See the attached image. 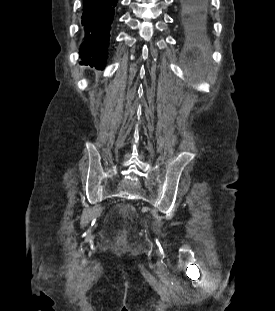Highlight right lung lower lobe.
I'll return each mask as SVG.
<instances>
[{"label":"right lung lower lobe","instance_id":"98d812e1","mask_svg":"<svg viewBox=\"0 0 275 311\" xmlns=\"http://www.w3.org/2000/svg\"><path fill=\"white\" fill-rule=\"evenodd\" d=\"M116 3L117 0H84L81 23L85 38L80 48L81 64L96 69L105 67Z\"/></svg>","mask_w":275,"mask_h":311}]
</instances>
